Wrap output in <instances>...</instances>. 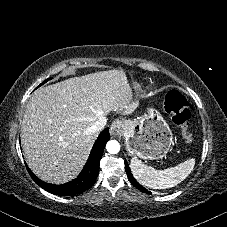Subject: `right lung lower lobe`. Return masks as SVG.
<instances>
[{
  "mask_svg": "<svg viewBox=\"0 0 227 227\" xmlns=\"http://www.w3.org/2000/svg\"><path fill=\"white\" fill-rule=\"evenodd\" d=\"M109 139L110 134L108 129L103 130L94 143L83 170L76 179L68 183L62 185L49 184L37 178L26 165L27 170L33 180L44 190L55 195L75 196L89 189L95 183L99 172V160L103 154L105 144Z\"/></svg>",
  "mask_w": 227,
  "mask_h": 227,
  "instance_id": "obj_1",
  "label": "right lung lower lobe"
}]
</instances>
